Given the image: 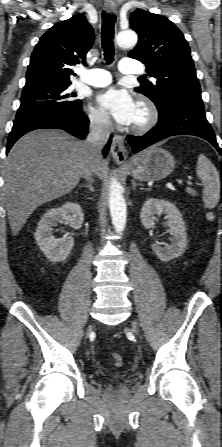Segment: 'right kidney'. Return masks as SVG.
I'll use <instances>...</instances> for the list:
<instances>
[{
  "label": "right kidney",
  "instance_id": "right-kidney-1",
  "mask_svg": "<svg viewBox=\"0 0 222 447\" xmlns=\"http://www.w3.org/2000/svg\"><path fill=\"white\" fill-rule=\"evenodd\" d=\"M66 221L73 229H80L84 221L81 206L75 202H66L61 207L49 209L41 218L35 232V239L40 250L52 262L64 261L70 254L74 239L64 235L55 239L52 235L57 222Z\"/></svg>",
  "mask_w": 222,
  "mask_h": 447
}]
</instances>
